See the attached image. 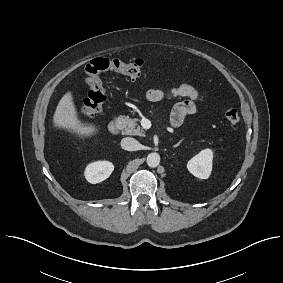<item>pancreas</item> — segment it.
<instances>
[{"instance_id":"pancreas-1","label":"pancreas","mask_w":283,"mask_h":283,"mask_svg":"<svg viewBox=\"0 0 283 283\" xmlns=\"http://www.w3.org/2000/svg\"><path fill=\"white\" fill-rule=\"evenodd\" d=\"M120 121V128L122 129L123 134L133 136H145V131L141 129V127L138 125L139 119H131L128 116H122L120 118Z\"/></svg>"}]
</instances>
